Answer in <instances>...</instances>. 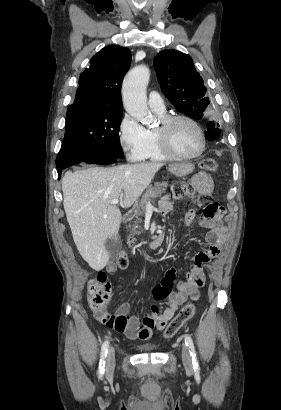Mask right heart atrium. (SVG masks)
Instances as JSON below:
<instances>
[{
	"label": "right heart atrium",
	"mask_w": 281,
	"mask_h": 410,
	"mask_svg": "<svg viewBox=\"0 0 281 410\" xmlns=\"http://www.w3.org/2000/svg\"><path fill=\"white\" fill-rule=\"evenodd\" d=\"M118 138L130 161H138L146 144L147 130L131 115L125 114L119 124Z\"/></svg>",
	"instance_id": "obj_1"
}]
</instances>
